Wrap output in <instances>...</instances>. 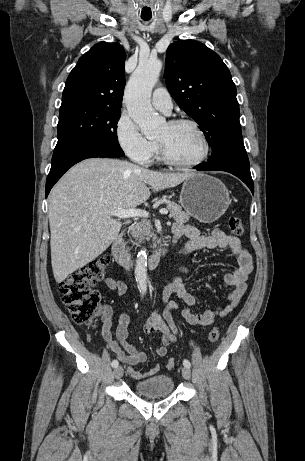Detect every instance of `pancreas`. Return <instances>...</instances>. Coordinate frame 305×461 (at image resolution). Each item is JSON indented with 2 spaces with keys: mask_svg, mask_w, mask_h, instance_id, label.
I'll use <instances>...</instances> for the list:
<instances>
[{
  "mask_svg": "<svg viewBox=\"0 0 305 461\" xmlns=\"http://www.w3.org/2000/svg\"><path fill=\"white\" fill-rule=\"evenodd\" d=\"M167 209L170 212V217H172L177 223H186L190 219V214L184 212L181 207L171 201L166 202ZM152 226L150 222L143 220L142 222L136 224L132 228V237L136 239V241L142 242L145 238L150 240L153 237H156L151 232Z\"/></svg>",
  "mask_w": 305,
  "mask_h": 461,
  "instance_id": "cf45deb5",
  "label": "pancreas"
}]
</instances>
